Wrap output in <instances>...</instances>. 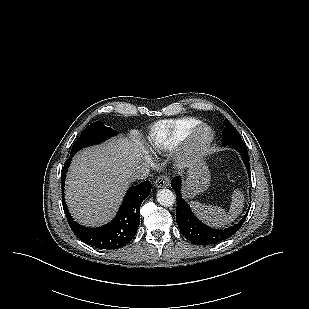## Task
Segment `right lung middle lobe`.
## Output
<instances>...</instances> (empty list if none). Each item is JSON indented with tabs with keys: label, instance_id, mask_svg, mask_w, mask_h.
<instances>
[{
	"label": "right lung middle lobe",
	"instance_id": "dd1d6c3e",
	"mask_svg": "<svg viewBox=\"0 0 309 309\" xmlns=\"http://www.w3.org/2000/svg\"><path fill=\"white\" fill-rule=\"evenodd\" d=\"M117 132L110 127H105L101 122L97 121L86 127L81 133L78 140L75 141L71 149V154H75L80 149L98 144L111 136H115Z\"/></svg>",
	"mask_w": 309,
	"mask_h": 309
}]
</instances>
